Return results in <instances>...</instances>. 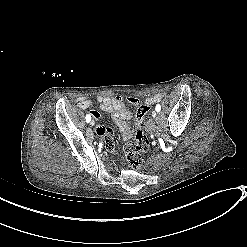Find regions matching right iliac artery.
<instances>
[{
    "mask_svg": "<svg viewBox=\"0 0 247 247\" xmlns=\"http://www.w3.org/2000/svg\"><path fill=\"white\" fill-rule=\"evenodd\" d=\"M91 121V116L89 114L86 115V122H90Z\"/></svg>",
    "mask_w": 247,
    "mask_h": 247,
    "instance_id": "obj_1",
    "label": "right iliac artery"
}]
</instances>
